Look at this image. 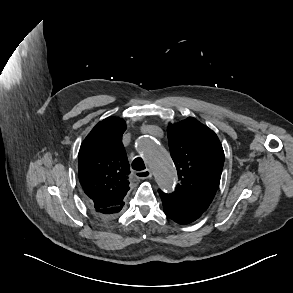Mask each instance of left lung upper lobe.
<instances>
[{"label": "left lung upper lobe", "mask_w": 293, "mask_h": 293, "mask_svg": "<svg viewBox=\"0 0 293 293\" xmlns=\"http://www.w3.org/2000/svg\"><path fill=\"white\" fill-rule=\"evenodd\" d=\"M167 132L171 157L180 180L169 196L202 214L220 183L224 164L222 145L214 131L192 117L169 124Z\"/></svg>", "instance_id": "5c2ea615"}]
</instances>
